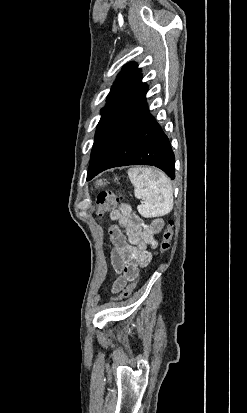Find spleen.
<instances>
[{
  "instance_id": "obj_1",
  "label": "spleen",
  "mask_w": 247,
  "mask_h": 413,
  "mask_svg": "<svg viewBox=\"0 0 247 413\" xmlns=\"http://www.w3.org/2000/svg\"><path fill=\"white\" fill-rule=\"evenodd\" d=\"M128 176L135 186L136 198H145L139 211L145 209L149 217H163L173 209V188L169 176L158 168H129Z\"/></svg>"
}]
</instances>
